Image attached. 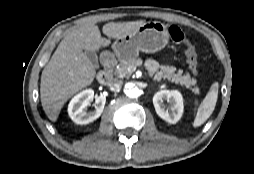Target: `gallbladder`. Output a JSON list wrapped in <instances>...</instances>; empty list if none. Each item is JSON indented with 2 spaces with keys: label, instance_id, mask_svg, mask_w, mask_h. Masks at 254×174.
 Listing matches in <instances>:
<instances>
[{
  "label": "gallbladder",
  "instance_id": "bac80fb5",
  "mask_svg": "<svg viewBox=\"0 0 254 174\" xmlns=\"http://www.w3.org/2000/svg\"><path fill=\"white\" fill-rule=\"evenodd\" d=\"M85 55L87 56V58L91 61V63L95 66V67H99V62H98V56L94 51L91 50H85L84 51Z\"/></svg>",
  "mask_w": 254,
  "mask_h": 174
}]
</instances>
